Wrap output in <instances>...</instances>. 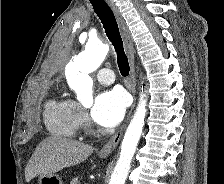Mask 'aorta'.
Masks as SVG:
<instances>
[{"label": "aorta", "instance_id": "762f6f07", "mask_svg": "<svg viewBox=\"0 0 224 184\" xmlns=\"http://www.w3.org/2000/svg\"><path fill=\"white\" fill-rule=\"evenodd\" d=\"M108 52V44L98 39L89 40L86 43L85 50L66 66L67 83L75 91L77 100L84 106H90L93 103V82L89 74L102 64ZM146 104L147 98L142 91L134 116L125 132L120 157L109 184H125L131 161L143 130Z\"/></svg>", "mask_w": 224, "mask_h": 184}]
</instances>
